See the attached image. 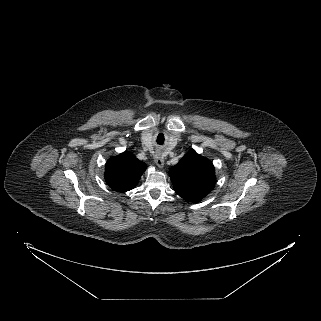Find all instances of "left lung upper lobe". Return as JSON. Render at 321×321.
I'll use <instances>...</instances> for the list:
<instances>
[{
  "label": "left lung upper lobe",
  "mask_w": 321,
  "mask_h": 321,
  "mask_svg": "<svg viewBox=\"0 0 321 321\" xmlns=\"http://www.w3.org/2000/svg\"><path fill=\"white\" fill-rule=\"evenodd\" d=\"M169 175L175 192L188 202L203 199L216 183L213 164L194 150L171 167Z\"/></svg>",
  "instance_id": "obj_1"
}]
</instances>
